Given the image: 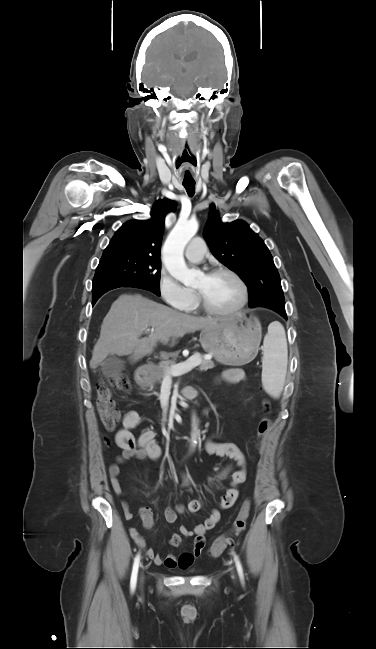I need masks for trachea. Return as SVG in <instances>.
Returning <instances> with one entry per match:
<instances>
[{
  "label": "trachea",
  "mask_w": 376,
  "mask_h": 649,
  "mask_svg": "<svg viewBox=\"0 0 376 649\" xmlns=\"http://www.w3.org/2000/svg\"><path fill=\"white\" fill-rule=\"evenodd\" d=\"M183 186L185 187L187 194L189 196H193L195 193V182L191 183H183Z\"/></svg>",
  "instance_id": "3493384b"
}]
</instances>
